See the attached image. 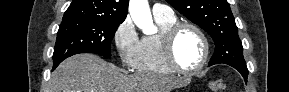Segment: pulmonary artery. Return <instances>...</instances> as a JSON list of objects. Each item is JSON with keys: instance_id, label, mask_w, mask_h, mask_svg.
<instances>
[{"instance_id": "e3ab8cb5", "label": "pulmonary artery", "mask_w": 289, "mask_h": 92, "mask_svg": "<svg viewBox=\"0 0 289 92\" xmlns=\"http://www.w3.org/2000/svg\"><path fill=\"white\" fill-rule=\"evenodd\" d=\"M152 12L154 16H171L173 15V11L170 7L156 3L153 5Z\"/></svg>"}]
</instances>
